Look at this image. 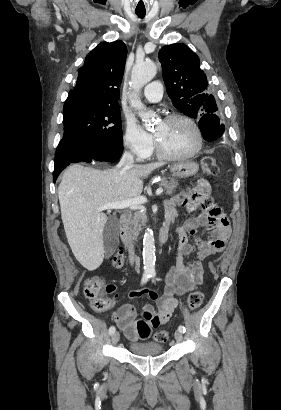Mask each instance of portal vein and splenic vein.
<instances>
[{"mask_svg":"<svg viewBox=\"0 0 281 410\" xmlns=\"http://www.w3.org/2000/svg\"><path fill=\"white\" fill-rule=\"evenodd\" d=\"M163 188H158L156 190V195H161L163 193ZM147 202V198L145 196H138L133 199L125 200V201H120V202H111L104 204L103 206L99 207L97 210L98 211H103V210H110V209H125V208H130L134 209L137 208L138 206L145 204Z\"/></svg>","mask_w":281,"mask_h":410,"instance_id":"obj_1","label":"portal vein and splenic vein"}]
</instances>
